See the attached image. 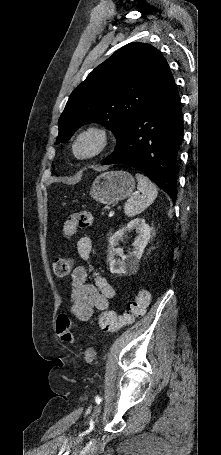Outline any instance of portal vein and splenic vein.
<instances>
[{
	"mask_svg": "<svg viewBox=\"0 0 221 455\" xmlns=\"http://www.w3.org/2000/svg\"><path fill=\"white\" fill-rule=\"evenodd\" d=\"M113 215H114V211H110L108 214L109 217H112Z\"/></svg>",
	"mask_w": 221,
	"mask_h": 455,
	"instance_id": "18ae733b",
	"label": "portal vein and splenic vein"
}]
</instances>
